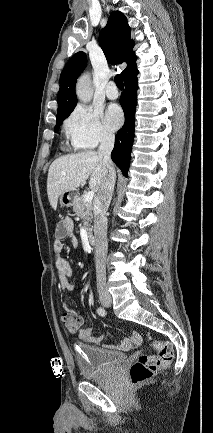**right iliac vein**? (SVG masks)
Masks as SVG:
<instances>
[{"label":"right iliac vein","instance_id":"1","mask_svg":"<svg viewBox=\"0 0 213 433\" xmlns=\"http://www.w3.org/2000/svg\"><path fill=\"white\" fill-rule=\"evenodd\" d=\"M100 301L104 306H110L112 303V298L109 294L107 293H101L100 294Z\"/></svg>","mask_w":213,"mask_h":433}]
</instances>
